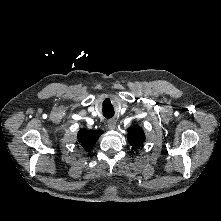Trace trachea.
Masks as SVG:
<instances>
[{
    "instance_id": "trachea-1",
    "label": "trachea",
    "mask_w": 221,
    "mask_h": 221,
    "mask_svg": "<svg viewBox=\"0 0 221 221\" xmlns=\"http://www.w3.org/2000/svg\"><path fill=\"white\" fill-rule=\"evenodd\" d=\"M103 115L107 118L110 119L114 116V110H103Z\"/></svg>"
}]
</instances>
